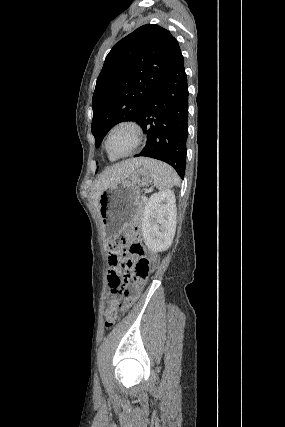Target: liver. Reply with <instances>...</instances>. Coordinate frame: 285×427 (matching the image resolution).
<instances>
[{
	"mask_svg": "<svg viewBox=\"0 0 285 427\" xmlns=\"http://www.w3.org/2000/svg\"><path fill=\"white\" fill-rule=\"evenodd\" d=\"M146 161L145 158H134L125 160L121 163H118L108 169H106L96 181L92 191L91 198L93 200V204L99 212V198L105 189L109 186L120 182L127 177L138 167L144 164Z\"/></svg>",
	"mask_w": 285,
	"mask_h": 427,
	"instance_id": "6515ba94",
	"label": "liver"
}]
</instances>
